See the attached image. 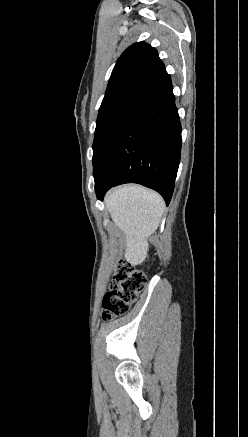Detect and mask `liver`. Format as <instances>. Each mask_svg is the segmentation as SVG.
<instances>
[{"label":"liver","mask_w":248,"mask_h":437,"mask_svg":"<svg viewBox=\"0 0 248 437\" xmlns=\"http://www.w3.org/2000/svg\"><path fill=\"white\" fill-rule=\"evenodd\" d=\"M105 205L125 235V259L134 264L143 262L149 250L148 238L157 230L164 212L162 197L144 187L126 185L111 189Z\"/></svg>","instance_id":"liver-1"}]
</instances>
